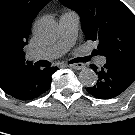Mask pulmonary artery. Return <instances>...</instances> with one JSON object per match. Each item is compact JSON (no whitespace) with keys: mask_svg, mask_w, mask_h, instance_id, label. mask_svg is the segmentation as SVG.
<instances>
[{"mask_svg":"<svg viewBox=\"0 0 135 135\" xmlns=\"http://www.w3.org/2000/svg\"><path fill=\"white\" fill-rule=\"evenodd\" d=\"M60 36L57 42L54 44L32 50L27 53L29 60H52L63 55L69 50L76 42L77 33L79 29V17L74 12H67L61 15L59 19ZM105 57L98 58L99 64H104Z\"/></svg>","mask_w":135,"mask_h":135,"instance_id":"1","label":"pulmonary artery"}]
</instances>
